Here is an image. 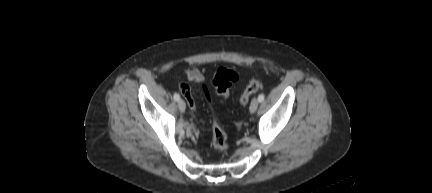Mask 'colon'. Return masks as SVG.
Wrapping results in <instances>:
<instances>
[{
	"label": "colon",
	"mask_w": 432,
	"mask_h": 193,
	"mask_svg": "<svg viewBox=\"0 0 432 193\" xmlns=\"http://www.w3.org/2000/svg\"><path fill=\"white\" fill-rule=\"evenodd\" d=\"M238 74L230 69L220 68L214 75L213 87L215 93L221 97H227L231 87L238 81ZM260 82L252 79L245 87L240 103L245 105L250 97L259 90ZM212 143L214 148L219 152H226L229 148L228 138L218 121L214 118L212 122Z\"/></svg>",
	"instance_id": "1"
}]
</instances>
